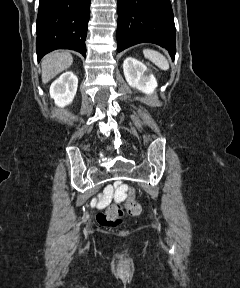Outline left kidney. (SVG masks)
Masks as SVG:
<instances>
[{
  "label": "left kidney",
  "instance_id": "obj_1",
  "mask_svg": "<svg viewBox=\"0 0 240 288\" xmlns=\"http://www.w3.org/2000/svg\"><path fill=\"white\" fill-rule=\"evenodd\" d=\"M124 76L130 87L143 93L151 94L157 87V81L147 67L132 57H127L123 62Z\"/></svg>",
  "mask_w": 240,
  "mask_h": 288
}]
</instances>
